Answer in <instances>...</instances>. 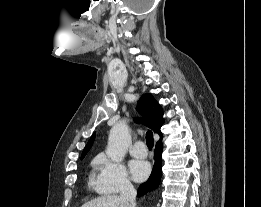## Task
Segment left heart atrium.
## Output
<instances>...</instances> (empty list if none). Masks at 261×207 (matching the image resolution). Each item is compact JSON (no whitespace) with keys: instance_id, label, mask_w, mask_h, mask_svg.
I'll list each match as a JSON object with an SVG mask.
<instances>
[{"instance_id":"obj_1","label":"left heart atrium","mask_w":261,"mask_h":207,"mask_svg":"<svg viewBox=\"0 0 261 207\" xmlns=\"http://www.w3.org/2000/svg\"><path fill=\"white\" fill-rule=\"evenodd\" d=\"M132 178L141 182L144 181L150 174V164L144 160H132L129 164Z\"/></svg>"}]
</instances>
